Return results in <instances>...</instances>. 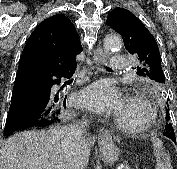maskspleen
I'll return each mask as SVG.
<instances>
[{
  "label": "spleen",
  "instance_id": "obj_1",
  "mask_svg": "<svg viewBox=\"0 0 177 169\" xmlns=\"http://www.w3.org/2000/svg\"><path fill=\"white\" fill-rule=\"evenodd\" d=\"M151 142L153 144L154 155L156 157L155 169H173L170 163V157L166 153L162 141L156 137H152Z\"/></svg>",
  "mask_w": 177,
  "mask_h": 169
}]
</instances>
